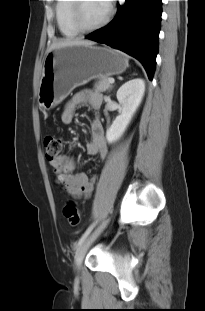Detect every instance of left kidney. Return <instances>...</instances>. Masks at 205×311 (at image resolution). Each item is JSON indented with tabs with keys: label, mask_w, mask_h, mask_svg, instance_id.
Returning a JSON list of instances; mask_svg holds the SVG:
<instances>
[{
	"label": "left kidney",
	"mask_w": 205,
	"mask_h": 311,
	"mask_svg": "<svg viewBox=\"0 0 205 311\" xmlns=\"http://www.w3.org/2000/svg\"><path fill=\"white\" fill-rule=\"evenodd\" d=\"M144 92L145 81L141 78L132 79L118 89L116 96L117 100L122 105V111L106 132L108 143L117 141L123 135L142 102Z\"/></svg>",
	"instance_id": "left-kidney-1"
}]
</instances>
